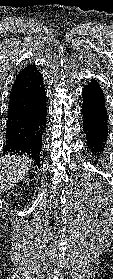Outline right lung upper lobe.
<instances>
[{"instance_id":"obj_1","label":"right lung upper lobe","mask_w":113,"mask_h":279,"mask_svg":"<svg viewBox=\"0 0 113 279\" xmlns=\"http://www.w3.org/2000/svg\"><path fill=\"white\" fill-rule=\"evenodd\" d=\"M31 66H32V65H28L27 67H25L24 69H22V70L20 71V73L16 76V79H17L18 77H20L21 75H23Z\"/></svg>"}]
</instances>
